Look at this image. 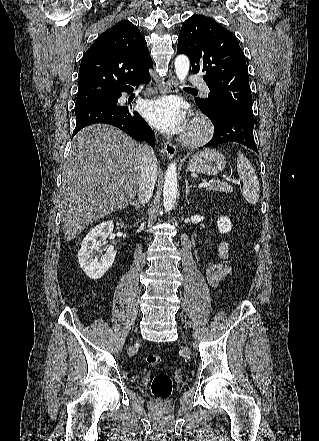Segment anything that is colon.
Instances as JSON below:
<instances>
[{"label": "colon", "instance_id": "obj_1", "mask_svg": "<svg viewBox=\"0 0 319 441\" xmlns=\"http://www.w3.org/2000/svg\"><path fill=\"white\" fill-rule=\"evenodd\" d=\"M147 362L150 365H158L161 357L156 354H149ZM173 383L171 377L166 372L157 373L151 383L152 395L159 401H165L172 393Z\"/></svg>", "mask_w": 319, "mask_h": 441}]
</instances>
